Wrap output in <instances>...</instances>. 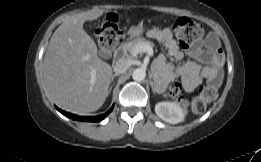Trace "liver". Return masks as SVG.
<instances>
[{
	"mask_svg": "<svg viewBox=\"0 0 261 162\" xmlns=\"http://www.w3.org/2000/svg\"><path fill=\"white\" fill-rule=\"evenodd\" d=\"M103 13L95 9L66 19L53 33L44 57L49 97L59 107L80 115L98 110L108 96L112 68L98 57L94 40L83 29L85 21Z\"/></svg>",
	"mask_w": 261,
	"mask_h": 162,
	"instance_id": "6515ba94",
	"label": "liver"
}]
</instances>
